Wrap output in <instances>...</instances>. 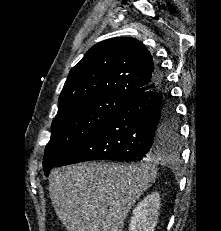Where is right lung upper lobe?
I'll return each mask as SVG.
<instances>
[{
  "label": "right lung upper lobe",
  "instance_id": "obj_1",
  "mask_svg": "<svg viewBox=\"0 0 221 231\" xmlns=\"http://www.w3.org/2000/svg\"><path fill=\"white\" fill-rule=\"evenodd\" d=\"M156 68L150 52L134 38L117 37L99 42L69 72L58 110L98 95L129 100L156 87Z\"/></svg>",
  "mask_w": 221,
  "mask_h": 231
}]
</instances>
